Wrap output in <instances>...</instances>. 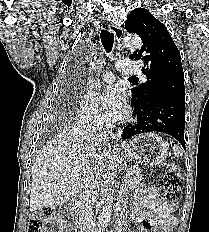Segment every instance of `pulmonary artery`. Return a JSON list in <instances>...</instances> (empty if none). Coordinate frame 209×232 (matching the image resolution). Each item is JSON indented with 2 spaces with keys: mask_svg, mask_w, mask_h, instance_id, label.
Segmentation results:
<instances>
[{
  "mask_svg": "<svg viewBox=\"0 0 209 232\" xmlns=\"http://www.w3.org/2000/svg\"><path fill=\"white\" fill-rule=\"evenodd\" d=\"M115 68L123 75H141L139 69L129 60H120L116 63ZM101 77L102 80L108 84L113 83L115 79V76L112 72H104ZM142 80L145 81L143 76Z\"/></svg>",
  "mask_w": 209,
  "mask_h": 232,
  "instance_id": "obj_1",
  "label": "pulmonary artery"
}]
</instances>
